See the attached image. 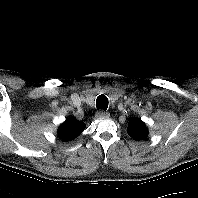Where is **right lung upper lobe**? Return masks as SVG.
I'll use <instances>...</instances> for the list:
<instances>
[{
    "mask_svg": "<svg viewBox=\"0 0 198 198\" xmlns=\"http://www.w3.org/2000/svg\"><path fill=\"white\" fill-rule=\"evenodd\" d=\"M86 127L83 121L67 118L58 129V137L64 141H70L80 135Z\"/></svg>",
    "mask_w": 198,
    "mask_h": 198,
    "instance_id": "right-lung-upper-lobe-1",
    "label": "right lung upper lobe"
}]
</instances>
